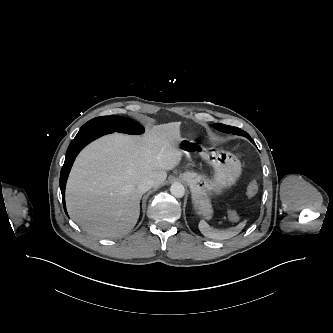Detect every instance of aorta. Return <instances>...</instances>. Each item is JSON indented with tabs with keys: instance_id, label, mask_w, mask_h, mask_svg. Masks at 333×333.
I'll use <instances>...</instances> for the list:
<instances>
[{
	"instance_id": "obj_1",
	"label": "aorta",
	"mask_w": 333,
	"mask_h": 333,
	"mask_svg": "<svg viewBox=\"0 0 333 333\" xmlns=\"http://www.w3.org/2000/svg\"><path fill=\"white\" fill-rule=\"evenodd\" d=\"M171 194L176 198H182L185 194V188L181 183H173L170 187Z\"/></svg>"
}]
</instances>
